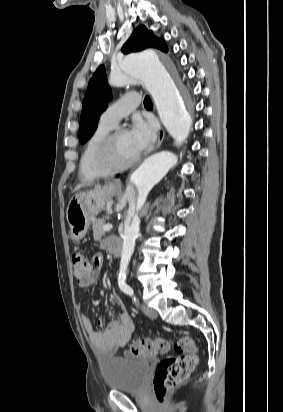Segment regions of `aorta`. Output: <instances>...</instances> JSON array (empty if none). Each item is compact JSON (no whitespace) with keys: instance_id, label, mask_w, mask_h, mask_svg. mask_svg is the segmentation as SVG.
Wrapping results in <instances>:
<instances>
[{"instance_id":"1","label":"aorta","mask_w":283,"mask_h":412,"mask_svg":"<svg viewBox=\"0 0 283 412\" xmlns=\"http://www.w3.org/2000/svg\"><path fill=\"white\" fill-rule=\"evenodd\" d=\"M134 83L144 84L154 99L163 125L175 139L176 145H181L189 135L192 119L167 62L153 50L126 56L119 63V69L111 73L109 84L120 87ZM177 160L176 154L161 151L147 158L133 172L130 185L137 190V210L141 209L151 189L176 165ZM139 232L140 219L136 214L122 233L121 275L127 271Z\"/></svg>"}]
</instances>
